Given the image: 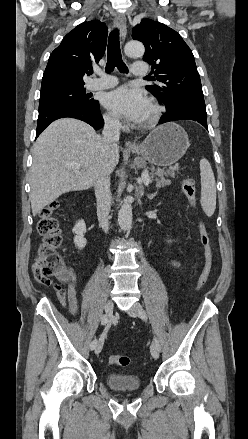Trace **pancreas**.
Wrapping results in <instances>:
<instances>
[{"mask_svg":"<svg viewBox=\"0 0 248 439\" xmlns=\"http://www.w3.org/2000/svg\"><path fill=\"white\" fill-rule=\"evenodd\" d=\"M179 166H173L169 169H160L157 170L152 169L150 173V179L155 180L157 183V187H163L166 185H170V180L166 179L167 176L174 177L176 172H178Z\"/></svg>","mask_w":248,"mask_h":439,"instance_id":"cf45deb5","label":"pancreas"}]
</instances>
